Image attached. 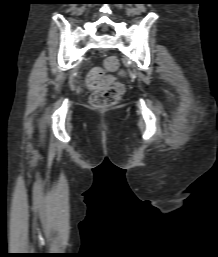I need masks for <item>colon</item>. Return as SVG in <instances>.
<instances>
[{"label": "colon", "instance_id": "obj_1", "mask_svg": "<svg viewBox=\"0 0 218 257\" xmlns=\"http://www.w3.org/2000/svg\"><path fill=\"white\" fill-rule=\"evenodd\" d=\"M119 69V61L115 56H109L104 61V70L115 72ZM104 70L99 67L93 68L87 76V85L92 90L90 102L95 108L109 107L118 102L124 93V85L112 76H104ZM119 78L132 79V74H125Z\"/></svg>", "mask_w": 218, "mask_h": 257}]
</instances>
